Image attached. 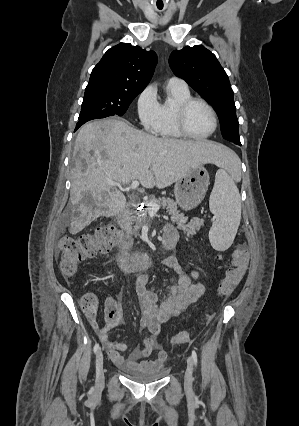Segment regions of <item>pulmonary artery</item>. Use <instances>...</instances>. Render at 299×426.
Wrapping results in <instances>:
<instances>
[{
	"mask_svg": "<svg viewBox=\"0 0 299 426\" xmlns=\"http://www.w3.org/2000/svg\"><path fill=\"white\" fill-rule=\"evenodd\" d=\"M170 84L180 85V86H187L185 81L178 78V77H172L169 79Z\"/></svg>",
	"mask_w": 299,
	"mask_h": 426,
	"instance_id": "e3ab8cb5",
	"label": "pulmonary artery"
}]
</instances>
